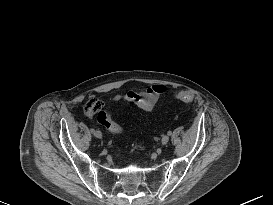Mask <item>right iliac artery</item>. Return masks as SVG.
Returning <instances> with one entry per match:
<instances>
[{
    "label": "right iliac artery",
    "mask_w": 273,
    "mask_h": 205,
    "mask_svg": "<svg viewBox=\"0 0 273 205\" xmlns=\"http://www.w3.org/2000/svg\"><path fill=\"white\" fill-rule=\"evenodd\" d=\"M90 131H91L92 133H94L95 130H94L93 128H91Z\"/></svg>",
    "instance_id": "1"
}]
</instances>
